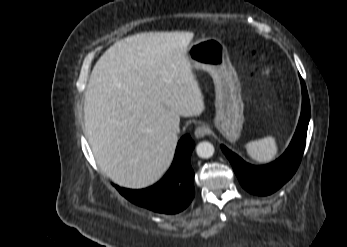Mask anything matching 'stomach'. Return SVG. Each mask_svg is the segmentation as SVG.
<instances>
[{
    "label": "stomach",
    "mask_w": 347,
    "mask_h": 247,
    "mask_svg": "<svg viewBox=\"0 0 347 247\" xmlns=\"http://www.w3.org/2000/svg\"><path fill=\"white\" fill-rule=\"evenodd\" d=\"M185 55L192 68L211 75L215 87V126L227 140L235 142L244 122V104L225 45L217 38H202L192 43Z\"/></svg>",
    "instance_id": "obj_1"
}]
</instances>
